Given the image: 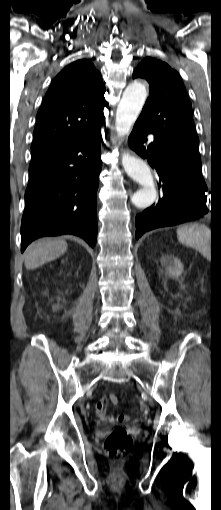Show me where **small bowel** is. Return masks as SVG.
I'll return each instance as SVG.
<instances>
[{
    "label": "small bowel",
    "mask_w": 221,
    "mask_h": 510,
    "mask_svg": "<svg viewBox=\"0 0 221 510\" xmlns=\"http://www.w3.org/2000/svg\"><path fill=\"white\" fill-rule=\"evenodd\" d=\"M111 395H105L102 397L95 405V413L98 417H100L105 422L114 421L113 416H110L107 412L108 401L110 400Z\"/></svg>",
    "instance_id": "1"
}]
</instances>
